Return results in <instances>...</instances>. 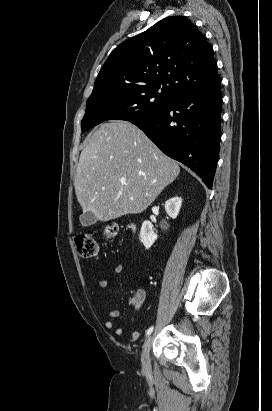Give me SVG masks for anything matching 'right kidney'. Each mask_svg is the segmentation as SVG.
I'll list each match as a JSON object with an SVG mask.
<instances>
[{
    "label": "right kidney",
    "instance_id": "ca27d5eb",
    "mask_svg": "<svg viewBox=\"0 0 272 411\" xmlns=\"http://www.w3.org/2000/svg\"><path fill=\"white\" fill-rule=\"evenodd\" d=\"M182 205L181 197H173L165 202V211L167 214L175 219L180 211ZM140 241L144 244L146 249H149L156 240L153 232V225L150 221H144L140 231Z\"/></svg>",
    "mask_w": 272,
    "mask_h": 411
}]
</instances>
